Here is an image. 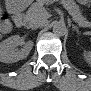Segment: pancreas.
<instances>
[{
	"instance_id": "obj_1",
	"label": "pancreas",
	"mask_w": 91,
	"mask_h": 91,
	"mask_svg": "<svg viewBox=\"0 0 91 91\" xmlns=\"http://www.w3.org/2000/svg\"><path fill=\"white\" fill-rule=\"evenodd\" d=\"M62 4L68 10L73 19L82 27H89L90 23L81 15L79 6L73 1H63ZM44 2L39 1L31 5L26 12L25 19L28 22H36L44 18L46 10L43 7Z\"/></svg>"
}]
</instances>
